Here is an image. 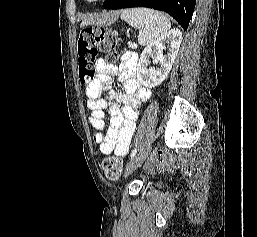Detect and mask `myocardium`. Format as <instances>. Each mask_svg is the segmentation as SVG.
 Here are the masks:
<instances>
[{
	"label": "myocardium",
	"instance_id": "1",
	"mask_svg": "<svg viewBox=\"0 0 257 237\" xmlns=\"http://www.w3.org/2000/svg\"><path fill=\"white\" fill-rule=\"evenodd\" d=\"M88 4H96L105 0H84Z\"/></svg>",
	"mask_w": 257,
	"mask_h": 237
}]
</instances>
